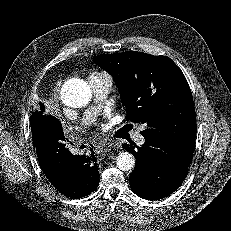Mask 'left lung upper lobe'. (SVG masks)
<instances>
[{"label": "left lung upper lobe", "instance_id": "left-lung-upper-lobe-1", "mask_svg": "<svg viewBox=\"0 0 231 231\" xmlns=\"http://www.w3.org/2000/svg\"><path fill=\"white\" fill-rule=\"evenodd\" d=\"M93 61L113 76L128 120L147 125L141 132L144 138H156L171 146L195 143L192 93L170 58L126 51L101 54Z\"/></svg>", "mask_w": 231, "mask_h": 231}]
</instances>
